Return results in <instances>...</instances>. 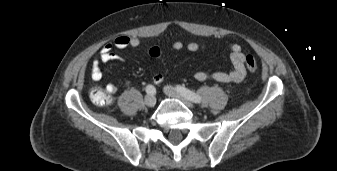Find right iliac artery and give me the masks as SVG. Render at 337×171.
<instances>
[{
	"mask_svg": "<svg viewBox=\"0 0 337 171\" xmlns=\"http://www.w3.org/2000/svg\"><path fill=\"white\" fill-rule=\"evenodd\" d=\"M146 92L153 95L156 93V88L153 85H147Z\"/></svg>",
	"mask_w": 337,
	"mask_h": 171,
	"instance_id": "1",
	"label": "right iliac artery"
}]
</instances>
